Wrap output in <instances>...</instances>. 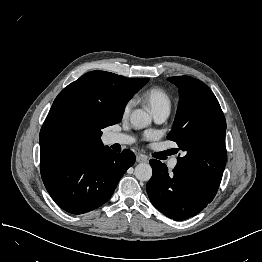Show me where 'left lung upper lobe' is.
I'll use <instances>...</instances> for the list:
<instances>
[{
    "instance_id": "left-lung-upper-lobe-1",
    "label": "left lung upper lobe",
    "mask_w": 262,
    "mask_h": 262,
    "mask_svg": "<svg viewBox=\"0 0 262 262\" xmlns=\"http://www.w3.org/2000/svg\"><path fill=\"white\" fill-rule=\"evenodd\" d=\"M168 80L179 88L180 101L167 139L176 142L186 155L176 169L203 198L212 201L226 163V121L211 89L190 76Z\"/></svg>"
}]
</instances>
